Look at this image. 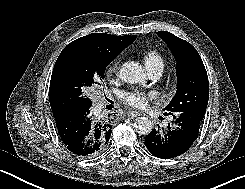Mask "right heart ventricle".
<instances>
[{"instance_id":"e07e8e85","label":"right heart ventricle","mask_w":245,"mask_h":189,"mask_svg":"<svg viewBox=\"0 0 245 189\" xmlns=\"http://www.w3.org/2000/svg\"><path fill=\"white\" fill-rule=\"evenodd\" d=\"M142 59L148 71L150 69H163L165 60L163 55L156 49H147L141 52Z\"/></svg>"}]
</instances>
